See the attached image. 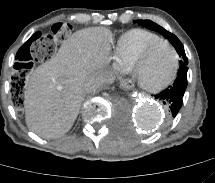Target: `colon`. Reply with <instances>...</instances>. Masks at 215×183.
<instances>
[{
    "label": "colon",
    "mask_w": 215,
    "mask_h": 183,
    "mask_svg": "<svg viewBox=\"0 0 215 183\" xmlns=\"http://www.w3.org/2000/svg\"><path fill=\"white\" fill-rule=\"evenodd\" d=\"M72 31V26L68 23H56L52 26L50 34L42 29L35 30L30 37L19 42L14 48V60L11 82V97L15 101L12 111L17 116H22L27 111V105L23 101L26 92L23 89L26 81V74L35 63L50 60L56 51L57 41L66 40Z\"/></svg>",
    "instance_id": "obj_1"
}]
</instances>
